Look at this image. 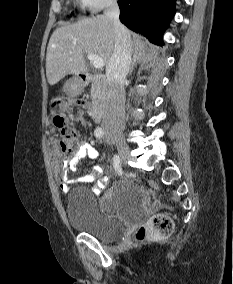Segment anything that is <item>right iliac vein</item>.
<instances>
[{"instance_id": "obj_1", "label": "right iliac vein", "mask_w": 233, "mask_h": 284, "mask_svg": "<svg viewBox=\"0 0 233 284\" xmlns=\"http://www.w3.org/2000/svg\"><path fill=\"white\" fill-rule=\"evenodd\" d=\"M110 138L112 142L116 144L118 151L123 157V159L126 160L129 156L130 150H129V146L126 143L125 139L119 134H113L110 136Z\"/></svg>"}]
</instances>
